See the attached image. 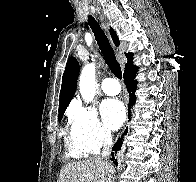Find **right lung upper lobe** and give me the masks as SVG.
Segmentation results:
<instances>
[{"label":"right lung upper lobe","instance_id":"right-lung-upper-lobe-1","mask_svg":"<svg viewBox=\"0 0 196 182\" xmlns=\"http://www.w3.org/2000/svg\"><path fill=\"white\" fill-rule=\"evenodd\" d=\"M110 34L116 46L119 45V39L116 32L111 28ZM133 53H126L128 63L125 68L131 64ZM79 75V63L74 57H70L67 61L66 68L62 78V87L60 91L59 101V116L64 115V112L73 98L77 87V78Z\"/></svg>","mask_w":196,"mask_h":182}]
</instances>
